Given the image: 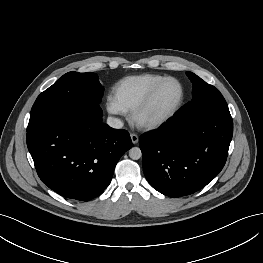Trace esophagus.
Returning <instances> with one entry per match:
<instances>
[{
  "label": "esophagus",
  "instance_id": "esophagus-1",
  "mask_svg": "<svg viewBox=\"0 0 263 263\" xmlns=\"http://www.w3.org/2000/svg\"><path fill=\"white\" fill-rule=\"evenodd\" d=\"M130 137H131V140H132V143H133V144H137V143H138L139 138H138V135H137V134L131 133V134H130Z\"/></svg>",
  "mask_w": 263,
  "mask_h": 263
}]
</instances>
